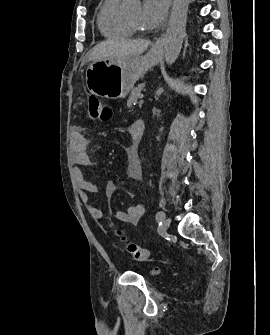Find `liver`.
I'll return each instance as SVG.
<instances>
[{
	"label": "liver",
	"mask_w": 270,
	"mask_h": 335,
	"mask_svg": "<svg viewBox=\"0 0 270 335\" xmlns=\"http://www.w3.org/2000/svg\"><path fill=\"white\" fill-rule=\"evenodd\" d=\"M150 40H131V42H111L105 40L94 46L89 60H103V58H119V56H138L150 46Z\"/></svg>",
	"instance_id": "obj_1"
}]
</instances>
